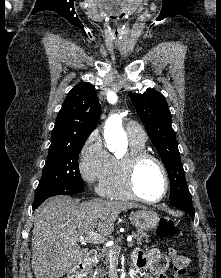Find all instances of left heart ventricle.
Masks as SVG:
<instances>
[{"label": "left heart ventricle", "instance_id": "obj_1", "mask_svg": "<svg viewBox=\"0 0 221 278\" xmlns=\"http://www.w3.org/2000/svg\"><path fill=\"white\" fill-rule=\"evenodd\" d=\"M135 184L141 195L156 199L164 190V177L154 161L146 160L136 170Z\"/></svg>", "mask_w": 221, "mask_h": 278}]
</instances>
